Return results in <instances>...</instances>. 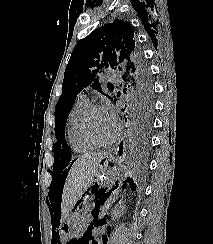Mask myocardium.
I'll return each mask as SVG.
<instances>
[{
    "label": "myocardium",
    "instance_id": "myocardium-1",
    "mask_svg": "<svg viewBox=\"0 0 213 244\" xmlns=\"http://www.w3.org/2000/svg\"><path fill=\"white\" fill-rule=\"evenodd\" d=\"M95 110H103V111L108 112L106 107H104L101 104H96V103L89 104V106L83 112V114L81 116V119H80V123H79L80 134H81L82 138L87 143L92 145L93 147H108V146L112 145L117 140V138L119 137L120 124L118 123L117 120H114V122H115V132H114L113 136L109 140H107V141H98V140L94 139L91 136V134L89 133V130H88V119H89L91 113L93 111H95Z\"/></svg>",
    "mask_w": 213,
    "mask_h": 244
}]
</instances>
